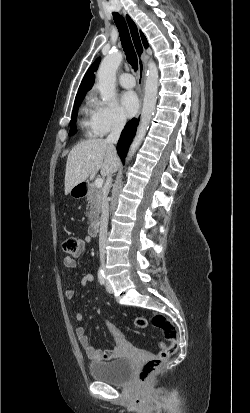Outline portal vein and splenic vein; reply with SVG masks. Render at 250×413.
<instances>
[{"label":"portal vein and splenic vein","mask_w":250,"mask_h":413,"mask_svg":"<svg viewBox=\"0 0 250 413\" xmlns=\"http://www.w3.org/2000/svg\"><path fill=\"white\" fill-rule=\"evenodd\" d=\"M103 182H104V180L102 179V178H97L96 180H95V186L97 187V188H101L102 186H103Z\"/></svg>","instance_id":"obj_1"}]
</instances>
